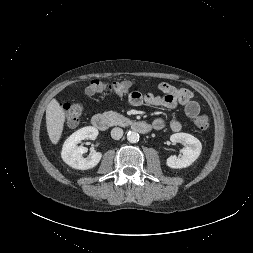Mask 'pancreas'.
Instances as JSON below:
<instances>
[{
	"mask_svg": "<svg viewBox=\"0 0 253 253\" xmlns=\"http://www.w3.org/2000/svg\"><path fill=\"white\" fill-rule=\"evenodd\" d=\"M104 115L112 125H124L129 121L128 118L114 111H106L104 112Z\"/></svg>",
	"mask_w": 253,
	"mask_h": 253,
	"instance_id": "cf45deb5",
	"label": "pancreas"
}]
</instances>
